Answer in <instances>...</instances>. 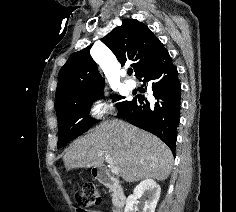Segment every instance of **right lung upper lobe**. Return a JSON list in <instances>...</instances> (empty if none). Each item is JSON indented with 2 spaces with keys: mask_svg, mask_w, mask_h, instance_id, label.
Here are the masks:
<instances>
[{
  "mask_svg": "<svg viewBox=\"0 0 236 212\" xmlns=\"http://www.w3.org/2000/svg\"><path fill=\"white\" fill-rule=\"evenodd\" d=\"M101 41L114 53L122 65L131 60L138 77L157 51L163 46L144 24L125 19ZM91 46L72 54L58 74L55 109L59 111L73 101L103 91L104 79L89 54Z\"/></svg>",
  "mask_w": 236,
  "mask_h": 212,
  "instance_id": "cb5924a9",
  "label": "right lung upper lobe"
}]
</instances>
